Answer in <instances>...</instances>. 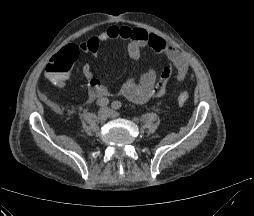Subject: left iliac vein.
<instances>
[{
  "label": "left iliac vein",
  "mask_w": 254,
  "mask_h": 216,
  "mask_svg": "<svg viewBox=\"0 0 254 216\" xmlns=\"http://www.w3.org/2000/svg\"><path fill=\"white\" fill-rule=\"evenodd\" d=\"M117 116H118V113H117V112H115V111H110V112H109V117L115 118V117H117Z\"/></svg>",
  "instance_id": "4c4485c4"
}]
</instances>
